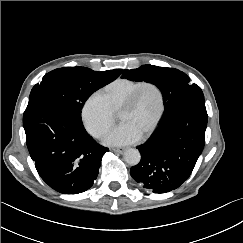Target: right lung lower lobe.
<instances>
[{
	"mask_svg": "<svg viewBox=\"0 0 243 243\" xmlns=\"http://www.w3.org/2000/svg\"><path fill=\"white\" fill-rule=\"evenodd\" d=\"M23 125L30 156L46 184L62 194L82 193L93 185L108 148L96 144L68 108L29 100Z\"/></svg>",
	"mask_w": 243,
	"mask_h": 243,
	"instance_id": "right-lung-lower-lobe-1",
	"label": "right lung lower lobe"
}]
</instances>
